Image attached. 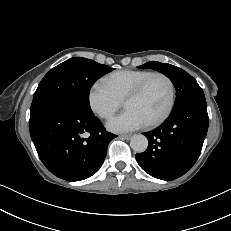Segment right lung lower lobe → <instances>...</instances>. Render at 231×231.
I'll return each mask as SVG.
<instances>
[{
  "mask_svg": "<svg viewBox=\"0 0 231 231\" xmlns=\"http://www.w3.org/2000/svg\"><path fill=\"white\" fill-rule=\"evenodd\" d=\"M30 135L46 168L67 181L84 180L101 167L116 135L79 104L62 100L29 121Z\"/></svg>",
  "mask_w": 231,
  "mask_h": 231,
  "instance_id": "1",
  "label": "right lung lower lobe"
}]
</instances>
